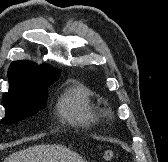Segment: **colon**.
<instances>
[{
  "mask_svg": "<svg viewBox=\"0 0 168 162\" xmlns=\"http://www.w3.org/2000/svg\"><path fill=\"white\" fill-rule=\"evenodd\" d=\"M103 159L106 162H111L115 159V153L113 151L108 150V151L104 152Z\"/></svg>",
  "mask_w": 168,
  "mask_h": 162,
  "instance_id": "1",
  "label": "colon"
}]
</instances>
